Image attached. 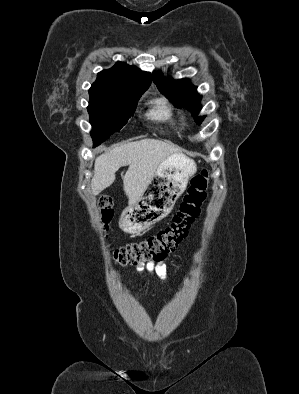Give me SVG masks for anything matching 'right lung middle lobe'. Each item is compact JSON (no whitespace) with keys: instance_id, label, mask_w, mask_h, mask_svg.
Here are the masks:
<instances>
[{"instance_id":"1","label":"right lung middle lobe","mask_w":299,"mask_h":394,"mask_svg":"<svg viewBox=\"0 0 299 394\" xmlns=\"http://www.w3.org/2000/svg\"><path fill=\"white\" fill-rule=\"evenodd\" d=\"M142 93L117 91L104 94H90L91 136L95 145L105 141L111 134L119 132L134 114Z\"/></svg>"}]
</instances>
